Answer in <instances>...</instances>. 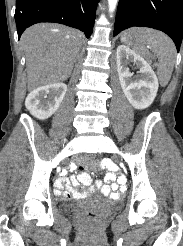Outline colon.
<instances>
[{
	"instance_id": "1",
	"label": "colon",
	"mask_w": 183,
	"mask_h": 246,
	"mask_svg": "<svg viewBox=\"0 0 183 246\" xmlns=\"http://www.w3.org/2000/svg\"><path fill=\"white\" fill-rule=\"evenodd\" d=\"M81 160H84L85 162H89L90 160H94V155H81ZM85 224L87 228L92 229L94 228V216L92 214H89L85 220Z\"/></svg>"
}]
</instances>
